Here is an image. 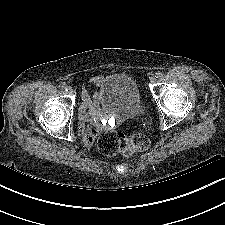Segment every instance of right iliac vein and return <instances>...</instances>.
<instances>
[{
    "label": "right iliac vein",
    "mask_w": 225,
    "mask_h": 225,
    "mask_svg": "<svg viewBox=\"0 0 225 225\" xmlns=\"http://www.w3.org/2000/svg\"><path fill=\"white\" fill-rule=\"evenodd\" d=\"M68 93H69L70 95H74V94H75V90H74L72 87H69V88H68Z\"/></svg>",
    "instance_id": "63e3f726"
}]
</instances>
